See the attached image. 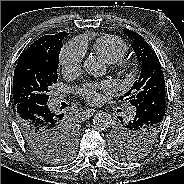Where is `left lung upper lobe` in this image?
Returning <instances> with one entry per match:
<instances>
[{
    "label": "left lung upper lobe",
    "instance_id": "5c2ea615",
    "mask_svg": "<svg viewBox=\"0 0 184 184\" xmlns=\"http://www.w3.org/2000/svg\"><path fill=\"white\" fill-rule=\"evenodd\" d=\"M124 33L133 41L132 48L141 63V73L123 97L137 107L154 95H166L165 80L159 59L149 44L134 31L124 29ZM162 124L135 127L120 118V122L111 128L109 134L115 155L121 160H133L143 156L158 139L153 140V137L162 128Z\"/></svg>",
    "mask_w": 184,
    "mask_h": 184
}]
</instances>
